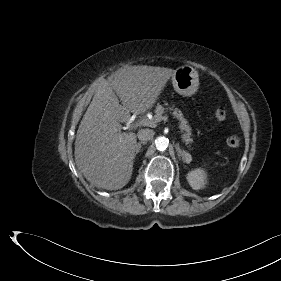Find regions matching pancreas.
<instances>
[{"instance_id": "obj_1", "label": "pancreas", "mask_w": 281, "mask_h": 281, "mask_svg": "<svg viewBox=\"0 0 281 281\" xmlns=\"http://www.w3.org/2000/svg\"><path fill=\"white\" fill-rule=\"evenodd\" d=\"M170 110H173L172 115L179 120V129L182 133L181 138L186 144H190L193 142L192 136V128L188 124V121L184 118L182 112L178 109L173 107L169 108ZM168 110V108H164L162 105L157 104L155 109V116L154 121L160 122L162 120V115Z\"/></svg>"}]
</instances>
